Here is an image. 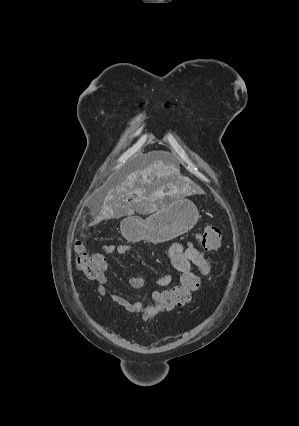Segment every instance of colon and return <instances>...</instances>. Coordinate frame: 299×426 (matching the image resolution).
Listing matches in <instances>:
<instances>
[{
    "label": "colon",
    "mask_w": 299,
    "mask_h": 426,
    "mask_svg": "<svg viewBox=\"0 0 299 426\" xmlns=\"http://www.w3.org/2000/svg\"><path fill=\"white\" fill-rule=\"evenodd\" d=\"M203 249L209 253H218L222 246L221 232L214 225L205 226L197 237ZM75 263L77 269L89 278H96L103 267V255L100 253H88L84 245L78 241L74 247ZM200 287L198 275L191 269L183 272L178 283L152 294L154 305L162 311H171L187 304L193 292Z\"/></svg>",
    "instance_id": "5ec220e1"
}]
</instances>
